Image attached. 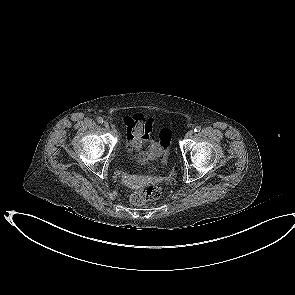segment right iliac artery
I'll use <instances>...</instances> for the list:
<instances>
[{
  "mask_svg": "<svg viewBox=\"0 0 295 295\" xmlns=\"http://www.w3.org/2000/svg\"><path fill=\"white\" fill-rule=\"evenodd\" d=\"M97 122L100 123V124H102L104 122L103 121V118H101V117L97 118Z\"/></svg>",
  "mask_w": 295,
  "mask_h": 295,
  "instance_id": "right-iliac-artery-1",
  "label": "right iliac artery"
}]
</instances>
